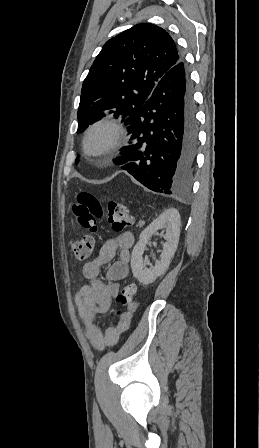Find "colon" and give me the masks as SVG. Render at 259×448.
Instances as JSON below:
<instances>
[{"label":"colon","instance_id":"obj_1","mask_svg":"<svg viewBox=\"0 0 259 448\" xmlns=\"http://www.w3.org/2000/svg\"><path fill=\"white\" fill-rule=\"evenodd\" d=\"M72 209L78 226L86 232L72 246L74 257L78 261L88 259L93 252V234L97 231L98 220H107L115 231H121L133 223V217L125 204L110 200L107 202V208L104 209L98 197L87 191L78 194ZM135 293V286L127 284L117 295L116 299L121 306L117 312L119 317L126 313V308L134 304Z\"/></svg>","mask_w":259,"mask_h":448}]
</instances>
